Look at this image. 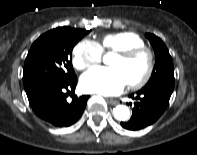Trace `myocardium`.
<instances>
[{
    "mask_svg": "<svg viewBox=\"0 0 197 155\" xmlns=\"http://www.w3.org/2000/svg\"><path fill=\"white\" fill-rule=\"evenodd\" d=\"M115 54L125 59H129L138 55H145L147 58V68L144 75L139 80L127 83V85L130 89H140L149 82L152 77L155 65L154 54L151 49L146 46H139L118 50L115 52Z\"/></svg>",
    "mask_w": 197,
    "mask_h": 155,
    "instance_id": "obj_1",
    "label": "myocardium"
}]
</instances>
